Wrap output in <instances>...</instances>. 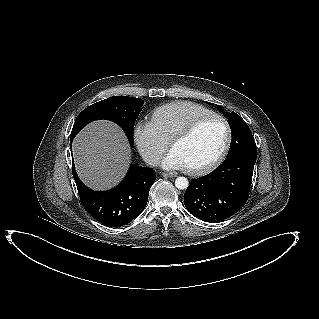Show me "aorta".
<instances>
[{
  "mask_svg": "<svg viewBox=\"0 0 319 319\" xmlns=\"http://www.w3.org/2000/svg\"><path fill=\"white\" fill-rule=\"evenodd\" d=\"M189 182L185 177H178L175 180V186L176 188L180 189V190H184L188 187Z\"/></svg>",
  "mask_w": 319,
  "mask_h": 319,
  "instance_id": "762f6f07",
  "label": "aorta"
}]
</instances>
